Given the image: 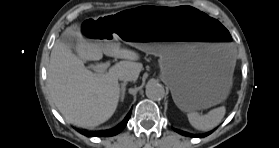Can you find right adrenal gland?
I'll use <instances>...</instances> for the list:
<instances>
[{
    "instance_id": "2a0ac1e0",
    "label": "right adrenal gland",
    "mask_w": 279,
    "mask_h": 148,
    "mask_svg": "<svg viewBox=\"0 0 279 148\" xmlns=\"http://www.w3.org/2000/svg\"><path fill=\"white\" fill-rule=\"evenodd\" d=\"M126 85H127V82H123V83L121 84V89H120V91H121V102L124 101L125 91H126Z\"/></svg>"
}]
</instances>
